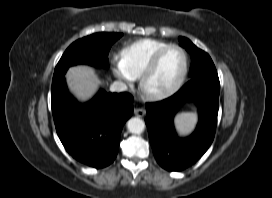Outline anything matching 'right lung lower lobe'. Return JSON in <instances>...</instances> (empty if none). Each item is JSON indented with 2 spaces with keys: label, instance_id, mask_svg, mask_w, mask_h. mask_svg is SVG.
I'll return each instance as SVG.
<instances>
[{
  "label": "right lung lower lobe",
  "instance_id": "right-lung-lower-lobe-1",
  "mask_svg": "<svg viewBox=\"0 0 272 198\" xmlns=\"http://www.w3.org/2000/svg\"><path fill=\"white\" fill-rule=\"evenodd\" d=\"M129 93H99L80 104L68 92L65 78L52 81L51 103L57 134L76 160L94 167L111 164L118 152L121 130L133 113Z\"/></svg>",
  "mask_w": 272,
  "mask_h": 198
}]
</instances>
